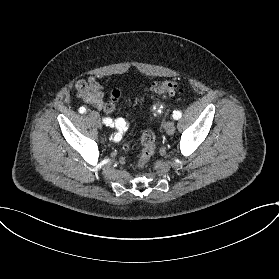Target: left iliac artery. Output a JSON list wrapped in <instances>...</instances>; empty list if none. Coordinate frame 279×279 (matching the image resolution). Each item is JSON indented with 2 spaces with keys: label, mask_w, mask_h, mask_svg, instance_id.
Here are the masks:
<instances>
[{
  "label": "left iliac artery",
  "mask_w": 279,
  "mask_h": 279,
  "mask_svg": "<svg viewBox=\"0 0 279 279\" xmlns=\"http://www.w3.org/2000/svg\"><path fill=\"white\" fill-rule=\"evenodd\" d=\"M172 116H173V118L175 120H178V119H180L182 117V114H181L180 111H173V115Z\"/></svg>",
  "instance_id": "44dca946"
}]
</instances>
